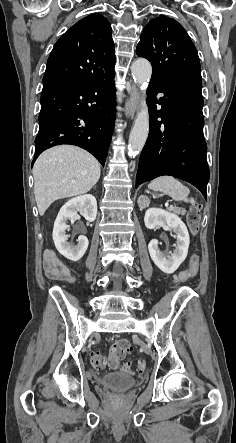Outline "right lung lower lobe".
Wrapping results in <instances>:
<instances>
[{
	"instance_id": "right-lung-lower-lobe-1",
	"label": "right lung lower lobe",
	"mask_w": 236,
	"mask_h": 443,
	"mask_svg": "<svg viewBox=\"0 0 236 443\" xmlns=\"http://www.w3.org/2000/svg\"><path fill=\"white\" fill-rule=\"evenodd\" d=\"M115 72L83 81L43 85L35 156L59 144L89 151L104 166L116 115Z\"/></svg>"
}]
</instances>
